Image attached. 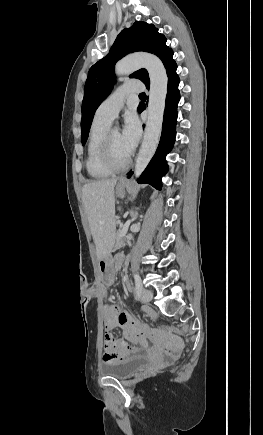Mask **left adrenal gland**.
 Segmentation results:
<instances>
[{
	"label": "left adrenal gland",
	"mask_w": 263,
	"mask_h": 435,
	"mask_svg": "<svg viewBox=\"0 0 263 435\" xmlns=\"http://www.w3.org/2000/svg\"><path fill=\"white\" fill-rule=\"evenodd\" d=\"M131 215H132V221H134V220H136L137 219V216H138V213L135 211V212H131Z\"/></svg>",
	"instance_id": "obj_1"
}]
</instances>
